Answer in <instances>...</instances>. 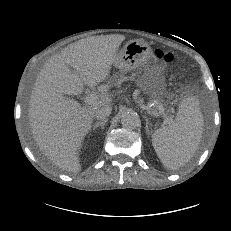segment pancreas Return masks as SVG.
Segmentation results:
<instances>
[{"label":"pancreas","mask_w":231,"mask_h":231,"mask_svg":"<svg viewBox=\"0 0 231 231\" xmlns=\"http://www.w3.org/2000/svg\"><path fill=\"white\" fill-rule=\"evenodd\" d=\"M125 79H126V77L121 76L118 80H119V81H123V80H125Z\"/></svg>","instance_id":"pancreas-1"}]
</instances>
